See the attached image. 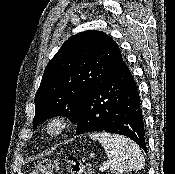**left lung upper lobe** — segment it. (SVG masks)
I'll use <instances>...</instances> for the list:
<instances>
[{
  "instance_id": "left-lung-upper-lobe-1",
  "label": "left lung upper lobe",
  "mask_w": 175,
  "mask_h": 174,
  "mask_svg": "<svg viewBox=\"0 0 175 174\" xmlns=\"http://www.w3.org/2000/svg\"><path fill=\"white\" fill-rule=\"evenodd\" d=\"M121 57L117 43L103 32L71 37L45 68L35 95L33 127L54 116L75 122L84 95L110 74Z\"/></svg>"
}]
</instances>
